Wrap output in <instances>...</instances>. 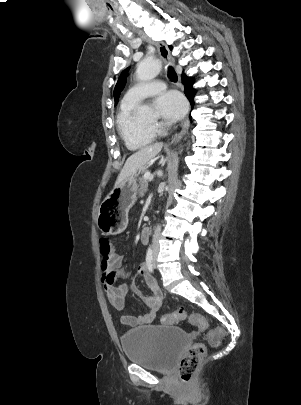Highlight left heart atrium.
<instances>
[{
    "instance_id": "39dd6f15",
    "label": "left heart atrium",
    "mask_w": 301,
    "mask_h": 405,
    "mask_svg": "<svg viewBox=\"0 0 301 405\" xmlns=\"http://www.w3.org/2000/svg\"><path fill=\"white\" fill-rule=\"evenodd\" d=\"M154 103L160 116L170 122L181 119L187 109L183 96L177 91H167L160 94Z\"/></svg>"
}]
</instances>
